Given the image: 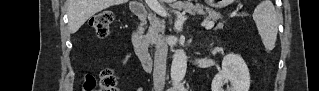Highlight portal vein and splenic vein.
Returning <instances> with one entry per match:
<instances>
[{"instance_id": "1", "label": "portal vein and splenic vein", "mask_w": 319, "mask_h": 91, "mask_svg": "<svg viewBox=\"0 0 319 91\" xmlns=\"http://www.w3.org/2000/svg\"><path fill=\"white\" fill-rule=\"evenodd\" d=\"M148 6L150 7V9L155 12L156 14H158L159 16L162 17H166L167 16V12L164 10V8L158 3L157 0H148ZM215 25V23L213 21H206L204 23V26L206 29H211L213 28Z\"/></svg>"}]
</instances>
